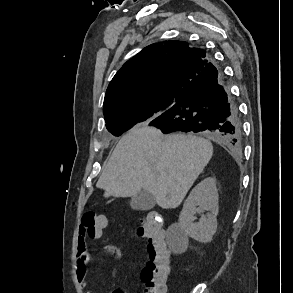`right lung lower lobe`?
Masks as SVG:
<instances>
[{
  "instance_id": "right-lung-lower-lobe-1",
  "label": "right lung lower lobe",
  "mask_w": 293,
  "mask_h": 293,
  "mask_svg": "<svg viewBox=\"0 0 293 293\" xmlns=\"http://www.w3.org/2000/svg\"><path fill=\"white\" fill-rule=\"evenodd\" d=\"M164 133L204 132L239 148L242 130L238 108L224 86L223 75L213 62L178 94L174 105L152 119Z\"/></svg>"
}]
</instances>
